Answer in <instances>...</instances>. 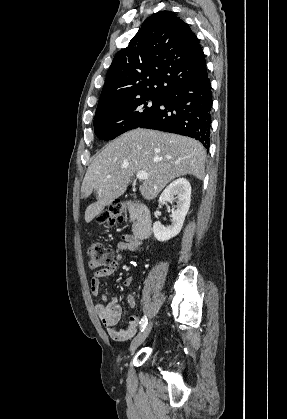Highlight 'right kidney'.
Here are the masks:
<instances>
[{
  "instance_id": "obj_1",
  "label": "right kidney",
  "mask_w": 287,
  "mask_h": 419,
  "mask_svg": "<svg viewBox=\"0 0 287 419\" xmlns=\"http://www.w3.org/2000/svg\"><path fill=\"white\" fill-rule=\"evenodd\" d=\"M177 199V206L172 210V224L165 227L160 221L153 224L154 237L160 241H167L178 235L183 227L185 216L188 213L191 201V185L185 178L173 181L162 192L159 198V208L164 202H173Z\"/></svg>"
}]
</instances>
